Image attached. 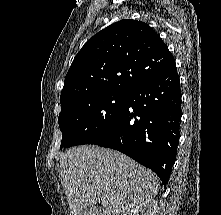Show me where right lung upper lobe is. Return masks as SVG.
<instances>
[{
  "label": "right lung upper lobe",
  "instance_id": "obj_1",
  "mask_svg": "<svg viewBox=\"0 0 221 215\" xmlns=\"http://www.w3.org/2000/svg\"><path fill=\"white\" fill-rule=\"evenodd\" d=\"M173 60L147 23L118 21L91 37L75 56L65 77L61 108L103 94H128Z\"/></svg>",
  "mask_w": 221,
  "mask_h": 215
}]
</instances>
